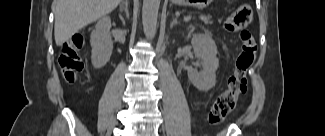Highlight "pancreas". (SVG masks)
I'll list each match as a JSON object with an SVG mask.
<instances>
[{
  "label": "pancreas",
  "instance_id": "obj_1",
  "mask_svg": "<svg viewBox=\"0 0 325 136\" xmlns=\"http://www.w3.org/2000/svg\"><path fill=\"white\" fill-rule=\"evenodd\" d=\"M196 19H199V22L201 24H207L208 19L210 18L209 12H196Z\"/></svg>",
  "mask_w": 325,
  "mask_h": 136
}]
</instances>
